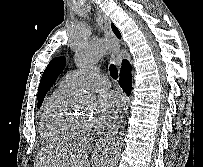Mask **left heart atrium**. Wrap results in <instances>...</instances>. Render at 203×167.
I'll return each instance as SVG.
<instances>
[{
  "label": "left heart atrium",
  "instance_id": "39dd6f15",
  "mask_svg": "<svg viewBox=\"0 0 203 167\" xmlns=\"http://www.w3.org/2000/svg\"><path fill=\"white\" fill-rule=\"evenodd\" d=\"M122 108L120 97L113 91L103 92L97 99V115L94 119L98 127L110 125Z\"/></svg>",
  "mask_w": 203,
  "mask_h": 167
}]
</instances>
